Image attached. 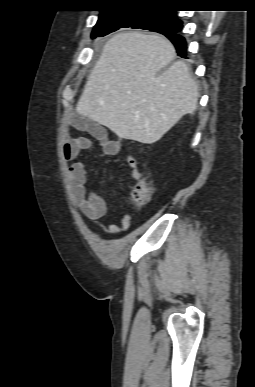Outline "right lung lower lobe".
I'll list each match as a JSON object with an SVG mask.
<instances>
[{
	"instance_id": "obj_1",
	"label": "right lung lower lobe",
	"mask_w": 255,
	"mask_h": 387,
	"mask_svg": "<svg viewBox=\"0 0 255 387\" xmlns=\"http://www.w3.org/2000/svg\"><path fill=\"white\" fill-rule=\"evenodd\" d=\"M180 30L176 31H164L163 35L167 36L176 47L179 56L186 58V41L178 34Z\"/></svg>"
}]
</instances>
